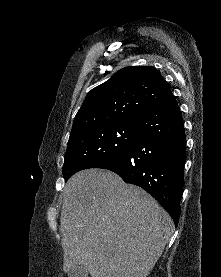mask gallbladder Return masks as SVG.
<instances>
[{"mask_svg": "<svg viewBox=\"0 0 221 277\" xmlns=\"http://www.w3.org/2000/svg\"><path fill=\"white\" fill-rule=\"evenodd\" d=\"M88 274L85 266L76 265L68 272V277H88Z\"/></svg>", "mask_w": 221, "mask_h": 277, "instance_id": "gallbladder-1", "label": "gallbladder"}]
</instances>
